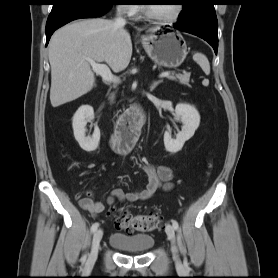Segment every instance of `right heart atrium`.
Segmentation results:
<instances>
[{
    "label": "right heart atrium",
    "mask_w": 278,
    "mask_h": 278,
    "mask_svg": "<svg viewBox=\"0 0 278 278\" xmlns=\"http://www.w3.org/2000/svg\"><path fill=\"white\" fill-rule=\"evenodd\" d=\"M120 8L129 16H133L139 11V6L136 4H123Z\"/></svg>",
    "instance_id": "d8ad5b80"
}]
</instances>
